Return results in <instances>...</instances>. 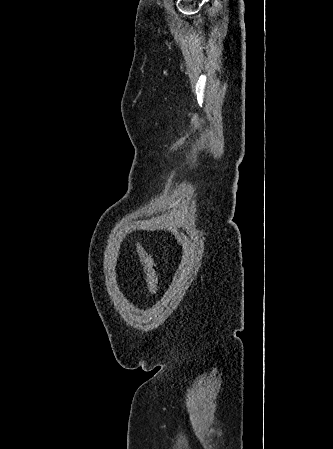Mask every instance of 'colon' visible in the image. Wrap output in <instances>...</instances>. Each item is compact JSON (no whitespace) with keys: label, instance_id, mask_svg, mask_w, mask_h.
<instances>
[{"label":"colon","instance_id":"obj_1","mask_svg":"<svg viewBox=\"0 0 333 449\" xmlns=\"http://www.w3.org/2000/svg\"><path fill=\"white\" fill-rule=\"evenodd\" d=\"M135 253L143 266L145 281L148 292L155 295L158 290V264L154 257L148 253L141 245L134 246Z\"/></svg>","mask_w":333,"mask_h":449}]
</instances>
